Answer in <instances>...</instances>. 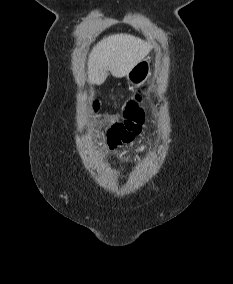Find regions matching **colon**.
Segmentation results:
<instances>
[{
	"mask_svg": "<svg viewBox=\"0 0 233 284\" xmlns=\"http://www.w3.org/2000/svg\"><path fill=\"white\" fill-rule=\"evenodd\" d=\"M140 102L139 95L130 100L125 107L123 118L109 129L108 139L111 146L129 143L140 133L144 123V111Z\"/></svg>",
	"mask_w": 233,
	"mask_h": 284,
	"instance_id": "5ec220e1",
	"label": "colon"
}]
</instances>
